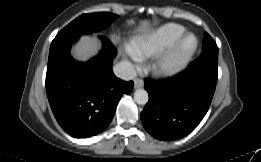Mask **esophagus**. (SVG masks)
<instances>
[{
	"instance_id": "obj_1",
	"label": "esophagus",
	"mask_w": 261,
	"mask_h": 162,
	"mask_svg": "<svg viewBox=\"0 0 261 162\" xmlns=\"http://www.w3.org/2000/svg\"><path fill=\"white\" fill-rule=\"evenodd\" d=\"M143 85H144L143 80H141V79H139V78H137V79L134 80V87H135L136 89L143 87Z\"/></svg>"
}]
</instances>
